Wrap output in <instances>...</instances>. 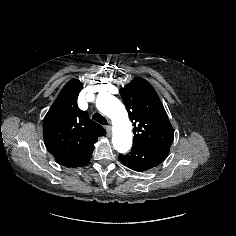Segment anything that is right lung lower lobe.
Listing matches in <instances>:
<instances>
[{
	"label": "right lung lower lobe",
	"instance_id": "obj_1",
	"mask_svg": "<svg viewBox=\"0 0 236 236\" xmlns=\"http://www.w3.org/2000/svg\"><path fill=\"white\" fill-rule=\"evenodd\" d=\"M91 156H92V152L89 153L88 155H86L84 158L80 159L79 161L75 162V163H74L72 166H70V167L76 168V167H80V166L85 165L86 163L89 162Z\"/></svg>",
	"mask_w": 236,
	"mask_h": 236
}]
</instances>
